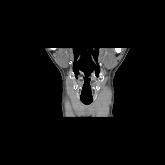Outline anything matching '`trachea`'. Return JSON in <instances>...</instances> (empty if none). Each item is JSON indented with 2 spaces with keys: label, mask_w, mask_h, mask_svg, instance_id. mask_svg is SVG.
<instances>
[{
  "label": "trachea",
  "mask_w": 165,
  "mask_h": 165,
  "mask_svg": "<svg viewBox=\"0 0 165 165\" xmlns=\"http://www.w3.org/2000/svg\"><path fill=\"white\" fill-rule=\"evenodd\" d=\"M81 101L85 105H89L92 102V100H83V99H81Z\"/></svg>",
  "instance_id": "1"
}]
</instances>
